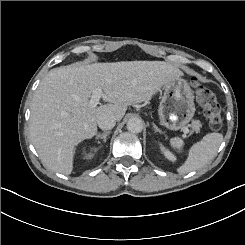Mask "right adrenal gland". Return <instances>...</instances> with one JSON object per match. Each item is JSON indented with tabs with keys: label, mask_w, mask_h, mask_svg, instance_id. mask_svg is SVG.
<instances>
[{
	"label": "right adrenal gland",
	"mask_w": 245,
	"mask_h": 245,
	"mask_svg": "<svg viewBox=\"0 0 245 245\" xmlns=\"http://www.w3.org/2000/svg\"><path fill=\"white\" fill-rule=\"evenodd\" d=\"M110 132H111V131H105V132L102 133V134H97V135H96V139L101 138V139H103L104 142H106V138H107V136L110 134ZM98 143H100V142L98 141Z\"/></svg>",
	"instance_id": "2a0ac1e0"
}]
</instances>
